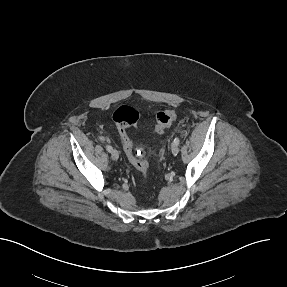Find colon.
Returning <instances> with one entry per match:
<instances>
[{"label":"colon","instance_id":"1","mask_svg":"<svg viewBox=\"0 0 287 287\" xmlns=\"http://www.w3.org/2000/svg\"><path fill=\"white\" fill-rule=\"evenodd\" d=\"M176 118L177 113L175 110L168 109L158 112L156 115L153 133H163L169 126H171ZM139 119V112L127 105L120 106L113 113V120L116 124L121 142L131 163L143 176H146L149 167L148 162L141 155L137 154L134 145L127 133L129 128H134L138 125Z\"/></svg>","mask_w":287,"mask_h":287}]
</instances>
